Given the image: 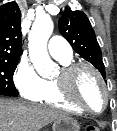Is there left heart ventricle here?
Masks as SVG:
<instances>
[{
	"label": "left heart ventricle",
	"instance_id": "1",
	"mask_svg": "<svg viewBox=\"0 0 117 131\" xmlns=\"http://www.w3.org/2000/svg\"><path fill=\"white\" fill-rule=\"evenodd\" d=\"M76 96L94 111L103 106V92L95 76L86 69L81 70L74 81Z\"/></svg>",
	"mask_w": 117,
	"mask_h": 131
}]
</instances>
